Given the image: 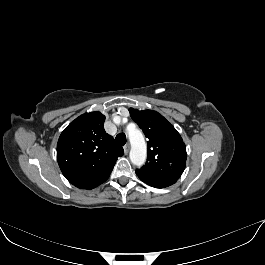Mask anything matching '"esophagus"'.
<instances>
[{"label": "esophagus", "instance_id": "34e87169", "mask_svg": "<svg viewBox=\"0 0 265 265\" xmlns=\"http://www.w3.org/2000/svg\"><path fill=\"white\" fill-rule=\"evenodd\" d=\"M129 150H130V144L127 143V144L124 146V152H125V153H128Z\"/></svg>", "mask_w": 265, "mask_h": 265}]
</instances>
